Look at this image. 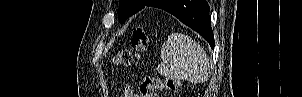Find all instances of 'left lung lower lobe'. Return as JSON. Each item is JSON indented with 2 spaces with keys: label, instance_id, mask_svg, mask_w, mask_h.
Masks as SVG:
<instances>
[{
  "label": "left lung lower lobe",
  "instance_id": "0a47b994",
  "mask_svg": "<svg viewBox=\"0 0 302 97\" xmlns=\"http://www.w3.org/2000/svg\"><path fill=\"white\" fill-rule=\"evenodd\" d=\"M149 6L163 9L198 32L214 48L209 6L205 0H154Z\"/></svg>",
  "mask_w": 302,
  "mask_h": 97
}]
</instances>
